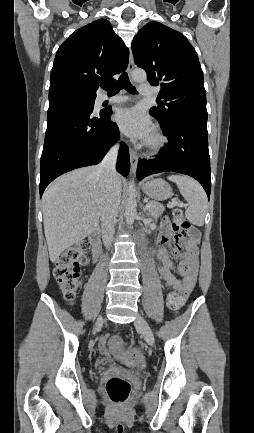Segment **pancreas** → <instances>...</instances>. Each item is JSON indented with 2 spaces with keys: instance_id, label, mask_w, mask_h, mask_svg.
Wrapping results in <instances>:
<instances>
[{
  "instance_id": "obj_1",
  "label": "pancreas",
  "mask_w": 254,
  "mask_h": 433,
  "mask_svg": "<svg viewBox=\"0 0 254 433\" xmlns=\"http://www.w3.org/2000/svg\"><path fill=\"white\" fill-rule=\"evenodd\" d=\"M149 203L151 204V207L148 208L147 214L154 220H157L158 217L162 215L165 208L162 204L156 201H150Z\"/></svg>"
}]
</instances>
